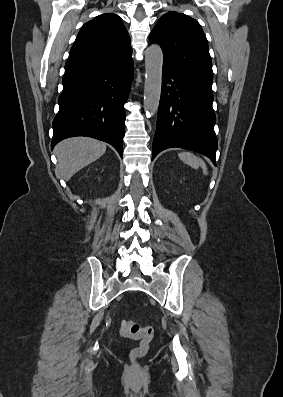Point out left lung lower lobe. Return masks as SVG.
Here are the masks:
<instances>
[{"label": "left lung lower lobe", "mask_w": 283, "mask_h": 397, "mask_svg": "<svg viewBox=\"0 0 283 397\" xmlns=\"http://www.w3.org/2000/svg\"><path fill=\"white\" fill-rule=\"evenodd\" d=\"M212 103V86L163 61L152 160L167 148L179 147L201 153L216 165L218 142Z\"/></svg>", "instance_id": "1"}]
</instances>
